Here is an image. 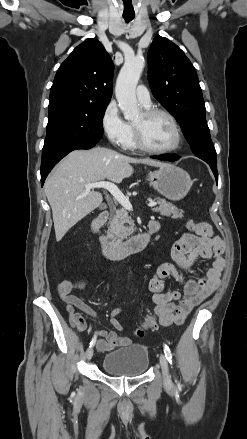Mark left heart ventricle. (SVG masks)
Wrapping results in <instances>:
<instances>
[{
	"mask_svg": "<svg viewBox=\"0 0 247 439\" xmlns=\"http://www.w3.org/2000/svg\"><path fill=\"white\" fill-rule=\"evenodd\" d=\"M134 124L141 128L145 142L152 148H168L175 142L174 127L165 116L158 115L145 119L141 114Z\"/></svg>",
	"mask_w": 247,
	"mask_h": 439,
	"instance_id": "left-heart-ventricle-1",
	"label": "left heart ventricle"
}]
</instances>
